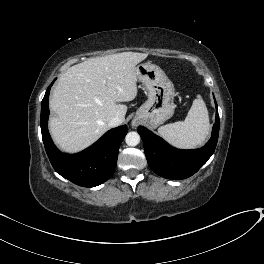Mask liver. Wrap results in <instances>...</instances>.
Wrapping results in <instances>:
<instances>
[{
	"instance_id": "6515ba94",
	"label": "liver",
	"mask_w": 264,
	"mask_h": 264,
	"mask_svg": "<svg viewBox=\"0 0 264 264\" xmlns=\"http://www.w3.org/2000/svg\"><path fill=\"white\" fill-rule=\"evenodd\" d=\"M148 54L123 52L90 58L70 67L58 80L50 108L49 130L55 144L74 153L98 140L113 117L125 120L137 96L136 65Z\"/></svg>"
}]
</instances>
